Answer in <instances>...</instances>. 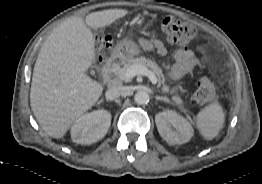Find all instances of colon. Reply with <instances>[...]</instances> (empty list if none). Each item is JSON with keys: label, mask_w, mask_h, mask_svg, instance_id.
I'll list each match as a JSON object with an SVG mask.
<instances>
[{"label": "colon", "mask_w": 262, "mask_h": 184, "mask_svg": "<svg viewBox=\"0 0 262 184\" xmlns=\"http://www.w3.org/2000/svg\"><path fill=\"white\" fill-rule=\"evenodd\" d=\"M161 28L169 42L181 46L188 45L196 36V28L192 23L173 17L162 18ZM96 44L100 50L99 63L105 65L108 59L105 50L111 46V38L109 36H99L96 39ZM214 96L215 88L213 84L207 78H201L197 82V88L192 97V103L198 107L204 108L213 100Z\"/></svg>", "instance_id": "obj_1"}]
</instances>
